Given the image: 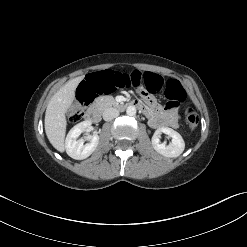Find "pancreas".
<instances>
[{"label":"pancreas","instance_id":"obj_1","mask_svg":"<svg viewBox=\"0 0 247 247\" xmlns=\"http://www.w3.org/2000/svg\"><path fill=\"white\" fill-rule=\"evenodd\" d=\"M108 103L116 104L112 97H102L96 102V106L101 109H105L109 106Z\"/></svg>","mask_w":247,"mask_h":247}]
</instances>
